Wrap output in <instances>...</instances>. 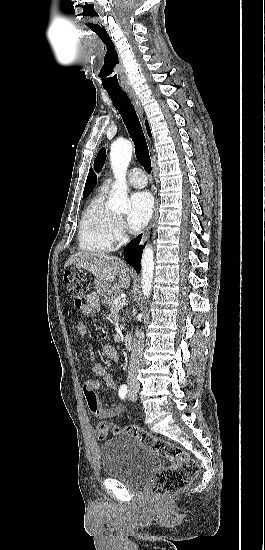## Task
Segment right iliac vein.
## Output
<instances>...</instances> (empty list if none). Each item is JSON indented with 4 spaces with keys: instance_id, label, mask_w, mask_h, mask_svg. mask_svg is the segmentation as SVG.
I'll return each instance as SVG.
<instances>
[{
    "instance_id": "right-iliac-vein-1",
    "label": "right iliac vein",
    "mask_w": 265,
    "mask_h": 550,
    "mask_svg": "<svg viewBox=\"0 0 265 550\" xmlns=\"http://www.w3.org/2000/svg\"><path fill=\"white\" fill-rule=\"evenodd\" d=\"M137 392H138V390L135 387H131L130 390H129V394L132 398L137 397Z\"/></svg>"
}]
</instances>
